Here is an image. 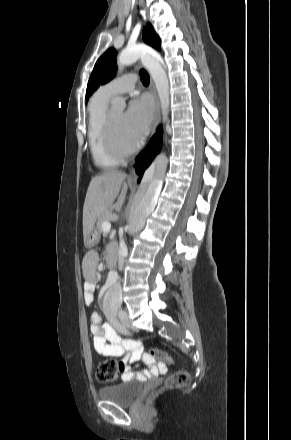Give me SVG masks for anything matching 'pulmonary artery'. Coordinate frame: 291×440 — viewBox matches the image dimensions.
<instances>
[{"label":"pulmonary artery","mask_w":291,"mask_h":440,"mask_svg":"<svg viewBox=\"0 0 291 440\" xmlns=\"http://www.w3.org/2000/svg\"><path fill=\"white\" fill-rule=\"evenodd\" d=\"M137 82V75L126 74L101 86L99 92L102 96L111 98L115 95L132 92L135 89Z\"/></svg>","instance_id":"e3ab8cb5"}]
</instances>
